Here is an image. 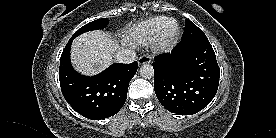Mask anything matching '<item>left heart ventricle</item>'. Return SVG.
I'll return each mask as SVG.
<instances>
[{"label": "left heart ventricle", "instance_id": "b2bd125f", "mask_svg": "<svg viewBox=\"0 0 276 138\" xmlns=\"http://www.w3.org/2000/svg\"><path fill=\"white\" fill-rule=\"evenodd\" d=\"M175 27H176L175 23H171V24L168 26V31H169V32L174 31Z\"/></svg>", "mask_w": 276, "mask_h": 138}]
</instances>
